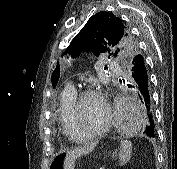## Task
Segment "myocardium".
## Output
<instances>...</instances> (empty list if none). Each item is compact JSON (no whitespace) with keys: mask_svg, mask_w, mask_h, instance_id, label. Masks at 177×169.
<instances>
[{"mask_svg":"<svg viewBox=\"0 0 177 169\" xmlns=\"http://www.w3.org/2000/svg\"><path fill=\"white\" fill-rule=\"evenodd\" d=\"M88 96H95L99 98L106 109V118L100 128H98L95 131H92L90 133L86 134H81L78 129L79 121H78V112H79V107L85 97ZM71 120H72V125H73V130L75 133V138L77 140H83V139H88V138H93L96 136H100L104 134L110 127L111 121H112V110L109 102L107 101L106 97L99 92L98 90L92 88V87H86L78 91L76 98L72 104L71 107Z\"/></svg>","mask_w":177,"mask_h":169,"instance_id":"1","label":"myocardium"}]
</instances>
